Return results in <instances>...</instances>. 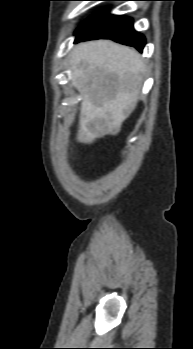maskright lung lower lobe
<instances>
[{
  "label": "right lung lower lobe",
  "mask_w": 193,
  "mask_h": 349,
  "mask_svg": "<svg viewBox=\"0 0 193 349\" xmlns=\"http://www.w3.org/2000/svg\"><path fill=\"white\" fill-rule=\"evenodd\" d=\"M75 42L92 39H111L142 51L145 38L135 31L133 19L110 14L101 9L86 19L75 32Z\"/></svg>",
  "instance_id": "obj_1"
}]
</instances>
